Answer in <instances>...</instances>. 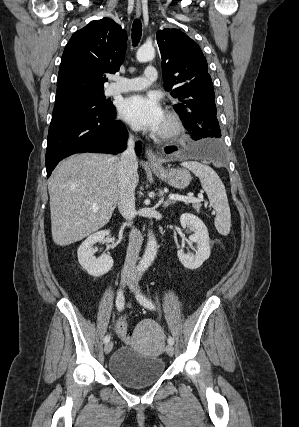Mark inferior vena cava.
<instances>
[{
    "mask_svg": "<svg viewBox=\"0 0 299 427\" xmlns=\"http://www.w3.org/2000/svg\"><path fill=\"white\" fill-rule=\"evenodd\" d=\"M138 162L134 151V138L129 137L127 149L120 155V171L117 204L121 215L129 221L136 216L135 210V187L137 177ZM143 237L141 232L132 227L129 234V244L123 267L124 274H135V267L141 249Z\"/></svg>",
    "mask_w": 299,
    "mask_h": 427,
    "instance_id": "1",
    "label": "inferior vena cava"
}]
</instances>
